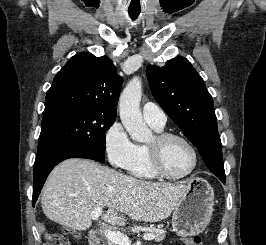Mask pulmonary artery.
<instances>
[{
  "mask_svg": "<svg viewBox=\"0 0 266 245\" xmlns=\"http://www.w3.org/2000/svg\"><path fill=\"white\" fill-rule=\"evenodd\" d=\"M142 114L146 122L159 127H164L167 121V117L164 111L157 105L150 104L146 101V104L142 107Z\"/></svg>",
  "mask_w": 266,
  "mask_h": 245,
  "instance_id": "pulmonary-artery-1",
  "label": "pulmonary artery"
}]
</instances>
